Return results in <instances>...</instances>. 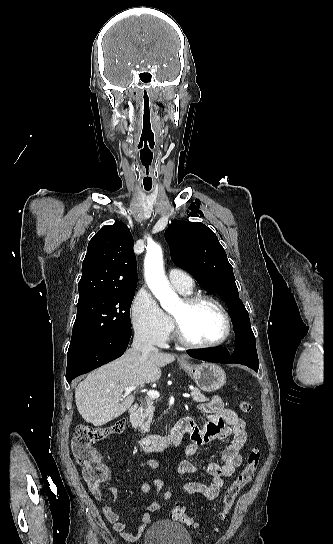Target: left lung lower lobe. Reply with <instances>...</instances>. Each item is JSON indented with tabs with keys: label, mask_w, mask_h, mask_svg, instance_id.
I'll list each match as a JSON object with an SVG mask.
<instances>
[{
	"label": "left lung lower lobe",
	"mask_w": 333,
	"mask_h": 544,
	"mask_svg": "<svg viewBox=\"0 0 333 544\" xmlns=\"http://www.w3.org/2000/svg\"><path fill=\"white\" fill-rule=\"evenodd\" d=\"M187 353L189 356L201 360L225 364L239 363L242 365H246L255 371H258L259 368V361L254 345L252 349L248 350L242 348L240 350V354H237V352H235L232 356L227 354L226 349L224 348H218L214 350L192 349L188 350Z\"/></svg>",
	"instance_id": "1"
}]
</instances>
